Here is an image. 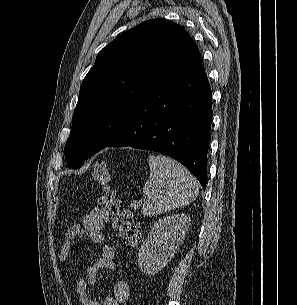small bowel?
I'll return each instance as SVG.
<instances>
[{"instance_id":"c3829d8e","label":"small bowel","mask_w":297,"mask_h":305,"mask_svg":"<svg viewBox=\"0 0 297 305\" xmlns=\"http://www.w3.org/2000/svg\"><path fill=\"white\" fill-rule=\"evenodd\" d=\"M108 214L102 208L96 207L83 217L80 223L71 227L64 235L60 253V262H65L76 240L88 235L89 238L102 246L101 257L91 264L85 276H79L76 281V289L82 305H121L127 302L130 295L129 284L124 280H117L112 289V294L98 301L93 297L96 283V271L98 268H115L114 249L105 243V225Z\"/></svg>"}]
</instances>
